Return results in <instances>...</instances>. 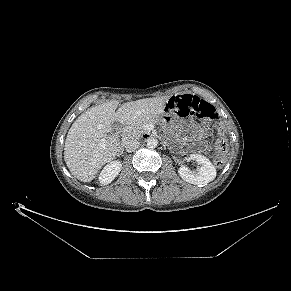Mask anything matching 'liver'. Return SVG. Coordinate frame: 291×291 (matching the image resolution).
<instances>
[{
  "label": "liver",
  "instance_id": "6515ba94",
  "mask_svg": "<svg viewBox=\"0 0 291 291\" xmlns=\"http://www.w3.org/2000/svg\"><path fill=\"white\" fill-rule=\"evenodd\" d=\"M170 96L139 99L122 104L109 101L83 112L68 131L64 160L78 180L90 182L99 169L115 158L118 140L107 133L114 122L132 125L152 121L164 112Z\"/></svg>",
  "mask_w": 291,
  "mask_h": 291
}]
</instances>
